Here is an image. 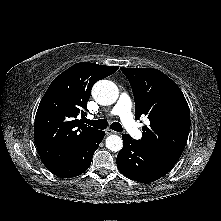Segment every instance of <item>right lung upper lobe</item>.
Returning a JSON list of instances; mask_svg holds the SVG:
<instances>
[{"label":"right lung upper lobe","mask_w":221,"mask_h":221,"mask_svg":"<svg viewBox=\"0 0 221 221\" xmlns=\"http://www.w3.org/2000/svg\"><path fill=\"white\" fill-rule=\"evenodd\" d=\"M118 66L77 63L50 84L37 109L34 139L47 169L71 158L99 130L77 119L84 115L92 86L115 73Z\"/></svg>","instance_id":"cb5924a9"}]
</instances>
